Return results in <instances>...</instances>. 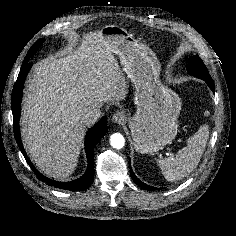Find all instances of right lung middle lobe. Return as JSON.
Listing matches in <instances>:
<instances>
[{
    "label": "right lung middle lobe",
    "instance_id": "right-lung-middle-lobe-1",
    "mask_svg": "<svg viewBox=\"0 0 236 236\" xmlns=\"http://www.w3.org/2000/svg\"><path fill=\"white\" fill-rule=\"evenodd\" d=\"M43 41H44L43 39H42V40H37V41L34 43V45L30 48L28 54L26 55L24 62H27V61L29 60V58L31 57V55H33V54L36 52V50L38 49V47L40 46V44H41Z\"/></svg>",
    "mask_w": 236,
    "mask_h": 236
}]
</instances>
